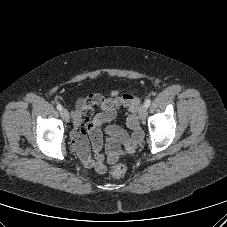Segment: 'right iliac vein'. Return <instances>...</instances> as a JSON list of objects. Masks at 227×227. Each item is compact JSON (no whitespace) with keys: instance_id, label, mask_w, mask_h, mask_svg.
<instances>
[{"instance_id":"right-iliac-vein-1","label":"right iliac vein","mask_w":227,"mask_h":227,"mask_svg":"<svg viewBox=\"0 0 227 227\" xmlns=\"http://www.w3.org/2000/svg\"><path fill=\"white\" fill-rule=\"evenodd\" d=\"M61 117L63 118V120L65 122H69L70 121V115L67 109H62L61 110Z\"/></svg>"}]
</instances>
